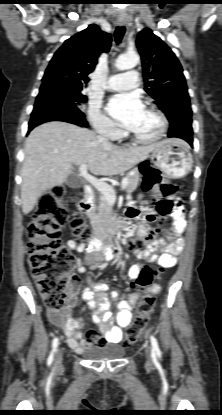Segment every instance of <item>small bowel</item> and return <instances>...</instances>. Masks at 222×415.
I'll list each match as a JSON object with an SVG mask.
<instances>
[{
	"label": "small bowel",
	"mask_w": 222,
	"mask_h": 415,
	"mask_svg": "<svg viewBox=\"0 0 222 415\" xmlns=\"http://www.w3.org/2000/svg\"><path fill=\"white\" fill-rule=\"evenodd\" d=\"M144 213L145 220H152L154 212L146 208ZM138 212L134 207H129L126 211V219L130 222L135 220ZM172 217L174 219V227L167 237L148 240L143 249L136 250L134 256L137 259H147L163 268H172L177 265L179 254L184 246V241L180 236L186 226L184 219V207L177 204ZM147 228L139 226L141 235L147 234ZM67 247L73 251L83 252L89 249L82 243L70 239L67 241ZM77 270L80 274H85L84 267L78 262ZM141 272L139 264L133 265L128 277L132 281H136ZM90 287L81 290V297L87 302L89 309L92 311L91 318L93 322L98 324L102 333L94 330H87L84 334L81 330L84 327V321L81 316L72 317L71 309L77 304V292L73 293L68 301V305L64 311L48 310L47 316L49 321L59 327L66 339L69 347L77 352H82L85 348L102 346L105 344H119L123 341V330L130 324L132 318V310L140 298V292L134 291L128 297L122 298L117 303V319L116 325L113 324L112 315L109 312L110 298L117 299L116 292L107 293L108 285L103 282H92L88 278ZM153 293L160 291L159 286H153L150 289Z\"/></svg>",
	"instance_id": "obj_1"
}]
</instances>
